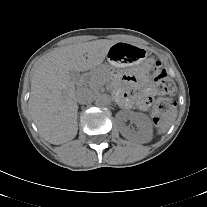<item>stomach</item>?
Segmentation results:
<instances>
[{"instance_id": "0dacf381", "label": "stomach", "mask_w": 207, "mask_h": 207, "mask_svg": "<svg viewBox=\"0 0 207 207\" xmlns=\"http://www.w3.org/2000/svg\"><path fill=\"white\" fill-rule=\"evenodd\" d=\"M108 61L112 66H137L147 62L148 53L145 49L118 42L107 53Z\"/></svg>"}]
</instances>
